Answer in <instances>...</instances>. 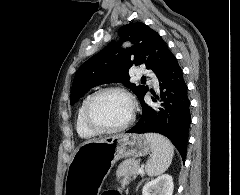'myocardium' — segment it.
Returning a JSON list of instances; mask_svg holds the SVG:
<instances>
[{
    "mask_svg": "<svg viewBox=\"0 0 240 195\" xmlns=\"http://www.w3.org/2000/svg\"><path fill=\"white\" fill-rule=\"evenodd\" d=\"M110 93H116V94H121L124 97H126L131 105V116L128 119L126 123L123 125L117 126V127H104L99 125L93 118V107L95 103L104 95L110 94ZM136 105L133 100V97L131 94L126 91L125 89L118 88V87H109V88H104L99 91H97L94 95L90 97V99L87 102V105L85 107V113H84V119L87 127L92 130L96 134H116L120 132H124L127 129H129L133 123L135 122L136 119Z\"/></svg>",
    "mask_w": 240,
    "mask_h": 195,
    "instance_id": "myocardium-1",
    "label": "myocardium"
}]
</instances>
